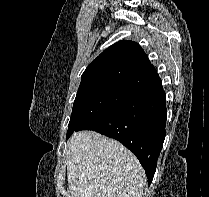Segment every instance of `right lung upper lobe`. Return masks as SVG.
Segmentation results:
<instances>
[{"label":"right lung upper lobe","mask_w":209,"mask_h":197,"mask_svg":"<svg viewBox=\"0 0 209 197\" xmlns=\"http://www.w3.org/2000/svg\"><path fill=\"white\" fill-rule=\"evenodd\" d=\"M89 81H112L141 91L157 85L161 79L140 45L122 40L90 63L81 78V82Z\"/></svg>","instance_id":"1"}]
</instances>
